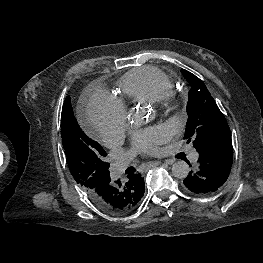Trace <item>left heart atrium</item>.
I'll return each mask as SVG.
<instances>
[{
  "mask_svg": "<svg viewBox=\"0 0 263 263\" xmlns=\"http://www.w3.org/2000/svg\"><path fill=\"white\" fill-rule=\"evenodd\" d=\"M169 136L170 132L164 126L138 131L133 137V149L143 154L153 155L169 139Z\"/></svg>",
  "mask_w": 263,
  "mask_h": 263,
  "instance_id": "1",
  "label": "left heart atrium"
}]
</instances>
